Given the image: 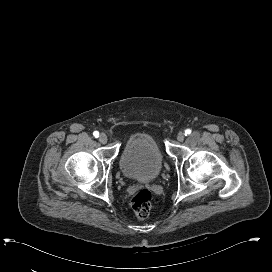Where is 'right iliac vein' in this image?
I'll use <instances>...</instances> for the list:
<instances>
[{"instance_id": "1", "label": "right iliac vein", "mask_w": 272, "mask_h": 272, "mask_svg": "<svg viewBox=\"0 0 272 272\" xmlns=\"http://www.w3.org/2000/svg\"><path fill=\"white\" fill-rule=\"evenodd\" d=\"M98 140H99L100 143L105 144V143H107V141H108V137H107L106 134L101 133V134L98 136Z\"/></svg>"}]
</instances>
